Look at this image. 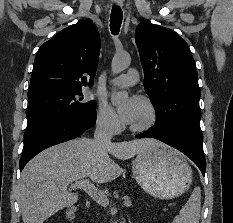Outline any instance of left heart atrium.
<instances>
[{"mask_svg": "<svg viewBox=\"0 0 233 223\" xmlns=\"http://www.w3.org/2000/svg\"><path fill=\"white\" fill-rule=\"evenodd\" d=\"M140 109V99L131 97L117 108V113L121 121L131 125L138 116Z\"/></svg>", "mask_w": 233, "mask_h": 223, "instance_id": "obj_1", "label": "left heart atrium"}]
</instances>
